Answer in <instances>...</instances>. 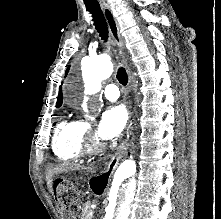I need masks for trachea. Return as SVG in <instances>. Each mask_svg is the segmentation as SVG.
<instances>
[{"instance_id":"1","label":"trachea","mask_w":221,"mask_h":219,"mask_svg":"<svg viewBox=\"0 0 221 219\" xmlns=\"http://www.w3.org/2000/svg\"><path fill=\"white\" fill-rule=\"evenodd\" d=\"M85 6L88 12L92 15L93 22L99 36L102 40H108V28L103 16L100 5L95 2H85ZM117 79L122 85H126L128 82V76L126 70L123 67H120L117 71Z\"/></svg>"}]
</instances>
